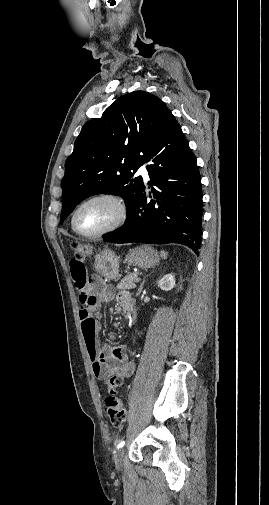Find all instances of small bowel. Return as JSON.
Here are the masks:
<instances>
[{
    "mask_svg": "<svg viewBox=\"0 0 269 505\" xmlns=\"http://www.w3.org/2000/svg\"><path fill=\"white\" fill-rule=\"evenodd\" d=\"M72 280L75 283V293L79 298L78 306L81 328L88 355L92 362V370L98 379L118 378L121 383L129 378L135 370V362L129 359L124 346H101L97 333L100 324L97 320L101 312L100 302L108 301L113 295V288L104 284L99 278L90 281L92 295L89 289L88 275L83 270L82 259H72L70 262ZM117 302L125 309L132 307V300L127 292H120Z\"/></svg>",
    "mask_w": 269,
    "mask_h": 505,
    "instance_id": "small-bowel-1",
    "label": "small bowel"
}]
</instances>
